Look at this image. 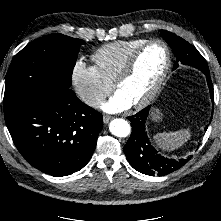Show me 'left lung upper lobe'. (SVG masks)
I'll list each match as a JSON object with an SVG mask.
<instances>
[{"mask_svg":"<svg viewBox=\"0 0 221 221\" xmlns=\"http://www.w3.org/2000/svg\"><path fill=\"white\" fill-rule=\"evenodd\" d=\"M161 37L170 45L177 60L174 64V69L178 67V63L193 66L202 72H209L208 65L203 56L198 50L172 32L161 30Z\"/></svg>","mask_w":221,"mask_h":221,"instance_id":"1","label":"left lung upper lobe"}]
</instances>
